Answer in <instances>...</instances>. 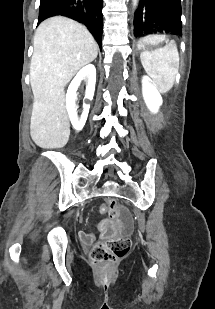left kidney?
Segmentation results:
<instances>
[{"instance_id":"left-kidney-1","label":"left kidney","mask_w":215,"mask_h":309,"mask_svg":"<svg viewBox=\"0 0 215 309\" xmlns=\"http://www.w3.org/2000/svg\"><path fill=\"white\" fill-rule=\"evenodd\" d=\"M142 92L149 110L158 112L161 104H163V98L156 86L152 84L149 76H143L142 78Z\"/></svg>"}]
</instances>
